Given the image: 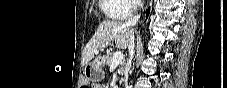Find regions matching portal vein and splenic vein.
I'll list each match as a JSON object with an SVG mask.
<instances>
[{"label":"portal vein and splenic vein","instance_id":"obj_1","mask_svg":"<svg viewBox=\"0 0 227 88\" xmlns=\"http://www.w3.org/2000/svg\"><path fill=\"white\" fill-rule=\"evenodd\" d=\"M123 58H124V55L121 51L115 52L112 57V65L119 64Z\"/></svg>","mask_w":227,"mask_h":88}]
</instances>
